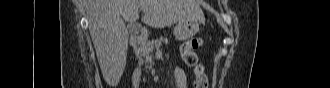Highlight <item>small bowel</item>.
I'll return each instance as SVG.
<instances>
[{
	"label": "small bowel",
	"instance_id": "obj_1",
	"mask_svg": "<svg viewBox=\"0 0 330 88\" xmlns=\"http://www.w3.org/2000/svg\"><path fill=\"white\" fill-rule=\"evenodd\" d=\"M174 80L176 88H187V78L184 71L180 67L174 68Z\"/></svg>",
	"mask_w": 330,
	"mask_h": 88
}]
</instances>
